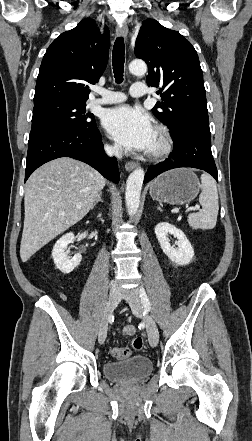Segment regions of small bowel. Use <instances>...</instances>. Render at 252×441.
Wrapping results in <instances>:
<instances>
[{
    "label": "small bowel",
    "mask_w": 252,
    "mask_h": 441,
    "mask_svg": "<svg viewBox=\"0 0 252 441\" xmlns=\"http://www.w3.org/2000/svg\"><path fill=\"white\" fill-rule=\"evenodd\" d=\"M135 331H136V329L133 326H131V325L125 326L124 328H122L120 330V332L123 335H132V334L135 333Z\"/></svg>",
    "instance_id": "c3829d8e"
}]
</instances>
